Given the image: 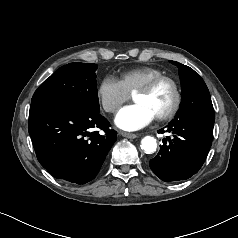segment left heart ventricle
<instances>
[{
  "label": "left heart ventricle",
  "instance_id": "left-heart-ventricle-1",
  "mask_svg": "<svg viewBox=\"0 0 238 238\" xmlns=\"http://www.w3.org/2000/svg\"><path fill=\"white\" fill-rule=\"evenodd\" d=\"M135 103L144 104L155 116L166 113L173 105L174 91L170 83L163 82L148 94H135Z\"/></svg>",
  "mask_w": 238,
  "mask_h": 238
}]
</instances>
